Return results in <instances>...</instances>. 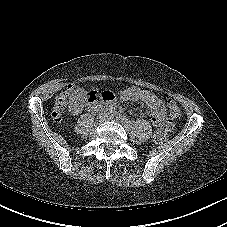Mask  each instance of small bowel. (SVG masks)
Returning <instances> with one entry per match:
<instances>
[{"label": "small bowel", "instance_id": "c3829d8e", "mask_svg": "<svg viewBox=\"0 0 227 227\" xmlns=\"http://www.w3.org/2000/svg\"><path fill=\"white\" fill-rule=\"evenodd\" d=\"M121 98L124 101L144 102L151 111L152 123L155 127L166 130L171 127L163 101L152 92L137 87H131L122 93Z\"/></svg>", "mask_w": 227, "mask_h": 227}]
</instances>
